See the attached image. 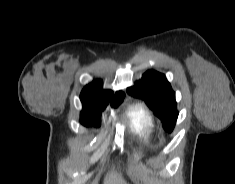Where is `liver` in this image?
<instances>
[{
  "instance_id": "obj_1",
  "label": "liver",
  "mask_w": 235,
  "mask_h": 184,
  "mask_svg": "<svg viewBox=\"0 0 235 184\" xmlns=\"http://www.w3.org/2000/svg\"><path fill=\"white\" fill-rule=\"evenodd\" d=\"M143 182L144 184H157L154 178H146V180H143ZM104 184H126V182L122 180L121 174H116V172H111V174H108Z\"/></svg>"
}]
</instances>
